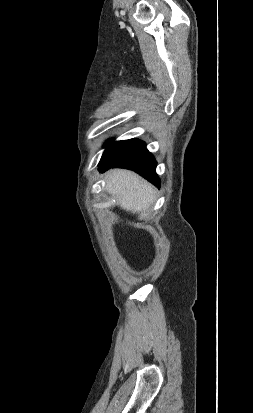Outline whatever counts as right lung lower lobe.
<instances>
[{"label":"right lung lower lobe","mask_w":253,"mask_h":413,"mask_svg":"<svg viewBox=\"0 0 253 413\" xmlns=\"http://www.w3.org/2000/svg\"><path fill=\"white\" fill-rule=\"evenodd\" d=\"M113 167L131 169L154 185L160 186V180L155 172L156 161L146 149L145 143L140 140L130 139L122 142L99 162L101 172Z\"/></svg>","instance_id":"1"}]
</instances>
